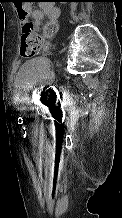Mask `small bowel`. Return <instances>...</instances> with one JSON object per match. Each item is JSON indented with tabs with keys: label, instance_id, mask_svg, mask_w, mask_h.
<instances>
[{
	"label": "small bowel",
	"instance_id": "small-bowel-1",
	"mask_svg": "<svg viewBox=\"0 0 122 218\" xmlns=\"http://www.w3.org/2000/svg\"><path fill=\"white\" fill-rule=\"evenodd\" d=\"M22 12L26 13V17H30L35 26H39L44 18L47 16L50 21H55L60 14L59 9L54 5L53 0H42L39 8L33 9L30 5H23L18 7V14L22 23L25 19Z\"/></svg>",
	"mask_w": 122,
	"mask_h": 218
}]
</instances>
